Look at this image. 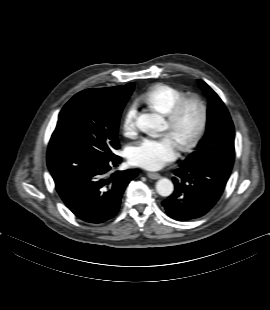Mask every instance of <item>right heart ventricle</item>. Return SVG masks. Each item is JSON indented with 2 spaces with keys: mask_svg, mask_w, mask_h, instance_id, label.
Returning <instances> with one entry per match:
<instances>
[{
  "mask_svg": "<svg viewBox=\"0 0 270 310\" xmlns=\"http://www.w3.org/2000/svg\"><path fill=\"white\" fill-rule=\"evenodd\" d=\"M185 96L178 88L170 84H157L142 95V99L162 114L167 115L174 105Z\"/></svg>",
  "mask_w": 270,
  "mask_h": 310,
  "instance_id": "e07e8e85",
  "label": "right heart ventricle"
}]
</instances>
